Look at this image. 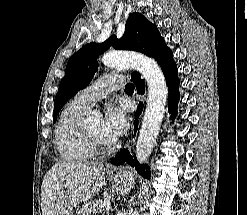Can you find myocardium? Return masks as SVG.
I'll return each instance as SVG.
<instances>
[{
    "instance_id": "f54148a6",
    "label": "myocardium",
    "mask_w": 247,
    "mask_h": 215,
    "mask_svg": "<svg viewBox=\"0 0 247 215\" xmlns=\"http://www.w3.org/2000/svg\"><path fill=\"white\" fill-rule=\"evenodd\" d=\"M83 134L86 139V142L88 143L89 147L94 153L103 152L109 147V143L107 141H104L96 137L91 132H89L86 128H83Z\"/></svg>"
}]
</instances>
